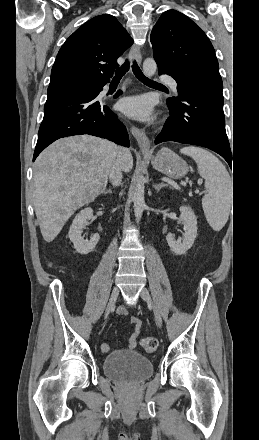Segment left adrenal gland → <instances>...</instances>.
I'll list each match as a JSON object with an SVG mask.
<instances>
[{
	"instance_id": "1",
	"label": "left adrenal gland",
	"mask_w": 259,
	"mask_h": 440,
	"mask_svg": "<svg viewBox=\"0 0 259 440\" xmlns=\"http://www.w3.org/2000/svg\"><path fill=\"white\" fill-rule=\"evenodd\" d=\"M154 187H155V190L157 192H159L163 187H168V185L165 183H159V184L154 185Z\"/></svg>"
}]
</instances>
